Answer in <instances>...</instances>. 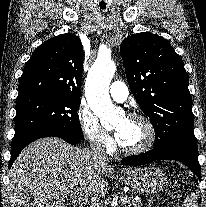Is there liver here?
<instances>
[{
	"label": "liver",
	"mask_w": 206,
	"mask_h": 207,
	"mask_svg": "<svg viewBox=\"0 0 206 207\" xmlns=\"http://www.w3.org/2000/svg\"><path fill=\"white\" fill-rule=\"evenodd\" d=\"M124 171L131 173V169ZM114 168L89 149L47 137L28 145L10 169L12 207H65V192L78 191L85 200L100 198L109 190L106 177Z\"/></svg>",
	"instance_id": "liver-1"
}]
</instances>
